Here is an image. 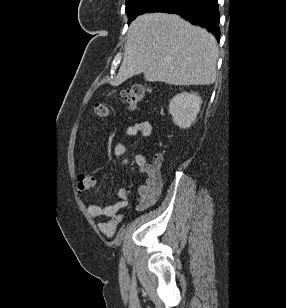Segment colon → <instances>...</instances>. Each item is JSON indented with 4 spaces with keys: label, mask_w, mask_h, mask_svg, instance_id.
<instances>
[{
    "label": "colon",
    "mask_w": 286,
    "mask_h": 308,
    "mask_svg": "<svg viewBox=\"0 0 286 308\" xmlns=\"http://www.w3.org/2000/svg\"><path fill=\"white\" fill-rule=\"evenodd\" d=\"M149 93L150 90L146 86L135 85L127 91H124L121 97L130 109H134ZM96 112L101 118H107L111 114V108L106 104L100 103L96 105ZM95 184L96 178L92 173H81L77 177L78 191L90 190Z\"/></svg>",
    "instance_id": "obj_1"
}]
</instances>
